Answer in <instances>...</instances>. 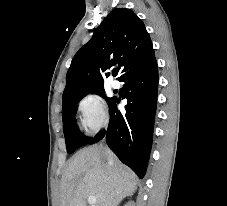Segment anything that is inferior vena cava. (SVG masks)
I'll use <instances>...</instances> for the list:
<instances>
[{
  "mask_svg": "<svg viewBox=\"0 0 227 206\" xmlns=\"http://www.w3.org/2000/svg\"><path fill=\"white\" fill-rule=\"evenodd\" d=\"M105 151L108 152L109 149L105 147ZM108 165H109V166H112V165H113L112 161L109 160V161H108Z\"/></svg>",
  "mask_w": 227,
  "mask_h": 206,
  "instance_id": "602c4592",
  "label": "inferior vena cava"
}]
</instances>
